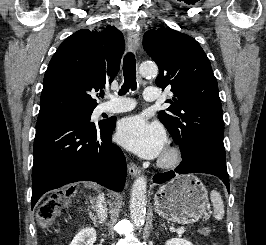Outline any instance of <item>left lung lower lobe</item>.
<instances>
[{
	"label": "left lung lower lobe",
	"mask_w": 266,
	"mask_h": 245,
	"mask_svg": "<svg viewBox=\"0 0 266 245\" xmlns=\"http://www.w3.org/2000/svg\"><path fill=\"white\" fill-rule=\"evenodd\" d=\"M182 159L174 171L156 174L153 181L164 183L178 174L206 173L219 177L229 191V175L222 140L206 136L198 137L194 139L190 152L182 155Z\"/></svg>",
	"instance_id": "obj_1"
}]
</instances>
